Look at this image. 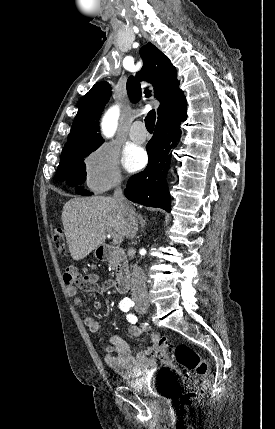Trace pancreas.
<instances>
[{
  "label": "pancreas",
  "instance_id": "pancreas-1",
  "mask_svg": "<svg viewBox=\"0 0 275 429\" xmlns=\"http://www.w3.org/2000/svg\"><path fill=\"white\" fill-rule=\"evenodd\" d=\"M110 265H113V266H114V265H115V262H113V261H112V262L110 263Z\"/></svg>",
  "mask_w": 275,
  "mask_h": 429
}]
</instances>
